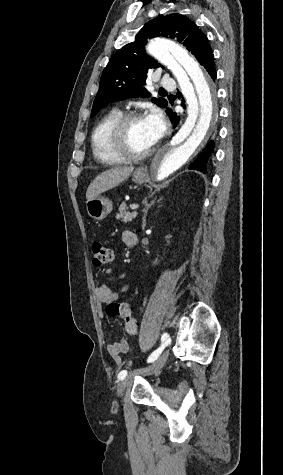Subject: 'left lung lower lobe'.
Masks as SVG:
<instances>
[{
    "label": "left lung lower lobe",
    "mask_w": 283,
    "mask_h": 475,
    "mask_svg": "<svg viewBox=\"0 0 283 475\" xmlns=\"http://www.w3.org/2000/svg\"><path fill=\"white\" fill-rule=\"evenodd\" d=\"M214 62V55L213 52L209 55V57L206 59V61L202 64L209 75L211 76L212 79H216V70L213 65ZM168 114L171 117L172 122L174 123V126L178 124L179 117L177 116L176 113L172 112L170 108H167ZM213 146L214 144L210 142L206 148L202 151L200 156L190 165V169H195L199 170L203 173H205V163L208 159L209 154L213 151Z\"/></svg>",
    "instance_id": "left-lung-lower-lobe-1"
}]
</instances>
